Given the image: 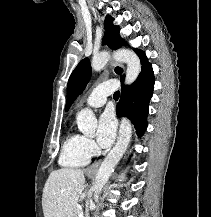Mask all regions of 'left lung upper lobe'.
<instances>
[{
  "mask_svg": "<svg viewBox=\"0 0 211 217\" xmlns=\"http://www.w3.org/2000/svg\"><path fill=\"white\" fill-rule=\"evenodd\" d=\"M113 18L109 15L106 16L104 26H105V36H104V44H107L111 49H118L122 45H126L125 41L121 39L119 35V27L113 24ZM138 56L140 57L142 67L149 65L148 59L145 53L141 50H134ZM117 74H121L123 70L119 67L115 69ZM91 77V65L88 58H85L80 61L77 67L72 72L68 85H67V102L65 106V110L67 111L73 101L77 98L79 94L84 90L89 79ZM121 81H124V75L121 76Z\"/></svg>",
  "mask_w": 211,
  "mask_h": 217,
  "instance_id": "5c2ea615",
  "label": "left lung upper lobe"
}]
</instances>
